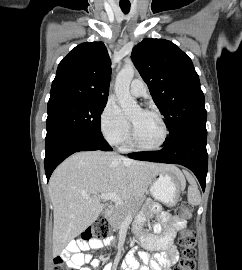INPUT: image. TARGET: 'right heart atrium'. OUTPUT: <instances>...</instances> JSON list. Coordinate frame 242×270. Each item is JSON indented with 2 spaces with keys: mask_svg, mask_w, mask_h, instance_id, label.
Instances as JSON below:
<instances>
[{
  "mask_svg": "<svg viewBox=\"0 0 242 270\" xmlns=\"http://www.w3.org/2000/svg\"><path fill=\"white\" fill-rule=\"evenodd\" d=\"M100 130L113 145L124 144L130 135V123L112 99H109L100 114Z\"/></svg>",
  "mask_w": 242,
  "mask_h": 270,
  "instance_id": "1",
  "label": "right heart atrium"
}]
</instances>
